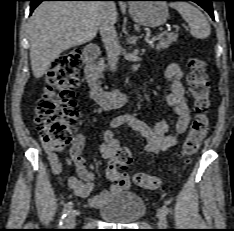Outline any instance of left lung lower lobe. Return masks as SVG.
Returning a JSON list of instances; mask_svg holds the SVG:
<instances>
[{
    "instance_id": "left-lung-lower-lobe-1",
    "label": "left lung lower lobe",
    "mask_w": 234,
    "mask_h": 231,
    "mask_svg": "<svg viewBox=\"0 0 234 231\" xmlns=\"http://www.w3.org/2000/svg\"><path fill=\"white\" fill-rule=\"evenodd\" d=\"M165 1H193L195 3H197L198 5H200L202 8H204L212 17V19H214L213 16V8H212V1H216V0H165Z\"/></svg>"
}]
</instances>
